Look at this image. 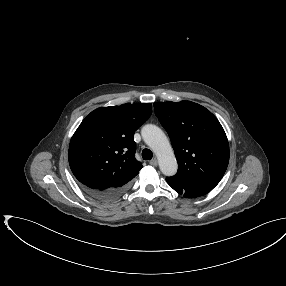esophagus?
Masks as SVG:
<instances>
[{"label": "esophagus", "mask_w": 286, "mask_h": 286, "mask_svg": "<svg viewBox=\"0 0 286 286\" xmlns=\"http://www.w3.org/2000/svg\"><path fill=\"white\" fill-rule=\"evenodd\" d=\"M149 163H150V165H152V166H157L158 161H157L156 158H154V159H152Z\"/></svg>", "instance_id": "obj_1"}]
</instances>
